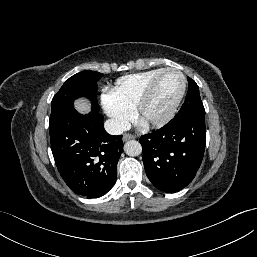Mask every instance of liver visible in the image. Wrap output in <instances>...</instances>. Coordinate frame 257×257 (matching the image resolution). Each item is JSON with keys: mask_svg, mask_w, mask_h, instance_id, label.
I'll return each instance as SVG.
<instances>
[{"mask_svg": "<svg viewBox=\"0 0 257 257\" xmlns=\"http://www.w3.org/2000/svg\"><path fill=\"white\" fill-rule=\"evenodd\" d=\"M75 108L80 112V113H87L89 110V105L86 100H78L75 102Z\"/></svg>", "mask_w": 257, "mask_h": 257, "instance_id": "6515ba94", "label": "liver"}]
</instances>
